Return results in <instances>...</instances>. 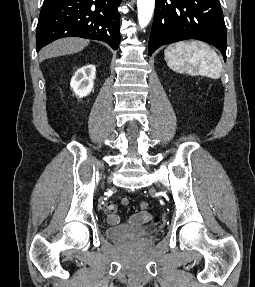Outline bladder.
Here are the masks:
<instances>
[{
    "label": "bladder",
    "instance_id": "31cf9c89",
    "mask_svg": "<svg viewBox=\"0 0 255 287\" xmlns=\"http://www.w3.org/2000/svg\"><path fill=\"white\" fill-rule=\"evenodd\" d=\"M154 229L147 225H117L110 226L106 229V234L111 239H132L146 238L154 233Z\"/></svg>",
    "mask_w": 255,
    "mask_h": 287
}]
</instances>
